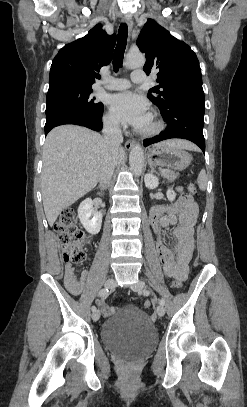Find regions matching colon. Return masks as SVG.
I'll return each instance as SVG.
<instances>
[{
	"mask_svg": "<svg viewBox=\"0 0 247 407\" xmlns=\"http://www.w3.org/2000/svg\"><path fill=\"white\" fill-rule=\"evenodd\" d=\"M188 193L191 197L198 195L197 187L194 183L188 186ZM54 229L59 236L62 246L63 259L66 263L81 264L85 261V241L83 233L77 227L76 214L73 208L65 209L55 223ZM181 280H175L173 287L180 288ZM153 306L152 300L145 302V307Z\"/></svg>",
	"mask_w": 247,
	"mask_h": 407,
	"instance_id": "obj_1",
	"label": "colon"
}]
</instances>
